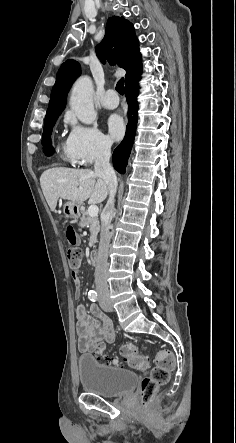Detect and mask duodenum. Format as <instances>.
Returning a JSON list of instances; mask_svg holds the SVG:
<instances>
[{
    "label": "duodenum",
    "instance_id": "1",
    "mask_svg": "<svg viewBox=\"0 0 236 443\" xmlns=\"http://www.w3.org/2000/svg\"><path fill=\"white\" fill-rule=\"evenodd\" d=\"M89 259H90V262H91L92 264H95V263H96V254H95V253H91V254L89 255Z\"/></svg>",
    "mask_w": 236,
    "mask_h": 443
}]
</instances>
